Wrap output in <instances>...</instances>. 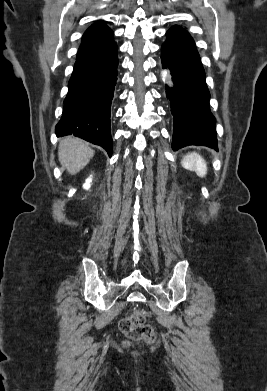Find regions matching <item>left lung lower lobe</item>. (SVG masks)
<instances>
[{"label":"left lung lower lobe","instance_id":"left-lung-lower-lobe-1","mask_svg":"<svg viewBox=\"0 0 267 391\" xmlns=\"http://www.w3.org/2000/svg\"><path fill=\"white\" fill-rule=\"evenodd\" d=\"M161 47L163 68H169L174 83L166 87L173 115L172 149L204 145L217 149L215 118L209 107L210 93L194 40L180 26L166 33Z\"/></svg>","mask_w":267,"mask_h":391}]
</instances>
